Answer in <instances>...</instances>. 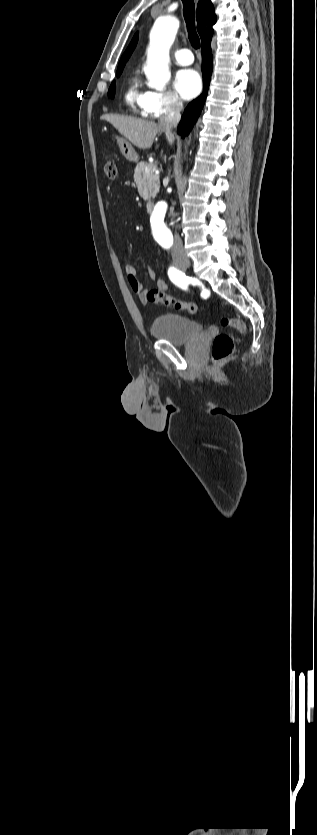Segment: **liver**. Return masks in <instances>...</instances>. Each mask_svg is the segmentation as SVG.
<instances>
[{"mask_svg":"<svg viewBox=\"0 0 317 835\" xmlns=\"http://www.w3.org/2000/svg\"><path fill=\"white\" fill-rule=\"evenodd\" d=\"M101 120L112 124L120 134L127 138L134 146L148 149L152 146L158 133L164 130L153 121L125 117L116 114H104Z\"/></svg>","mask_w":317,"mask_h":835,"instance_id":"obj_1","label":"liver"}]
</instances>
